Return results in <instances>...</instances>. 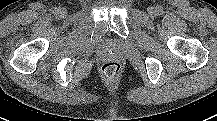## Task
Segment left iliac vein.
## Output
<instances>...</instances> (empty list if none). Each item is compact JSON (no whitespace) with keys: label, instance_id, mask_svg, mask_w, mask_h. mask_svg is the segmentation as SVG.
Wrapping results in <instances>:
<instances>
[{"label":"left iliac vein","instance_id":"obj_1","mask_svg":"<svg viewBox=\"0 0 217 121\" xmlns=\"http://www.w3.org/2000/svg\"><path fill=\"white\" fill-rule=\"evenodd\" d=\"M148 11L151 16L155 15V9L153 7H151Z\"/></svg>","mask_w":217,"mask_h":121}]
</instances>
